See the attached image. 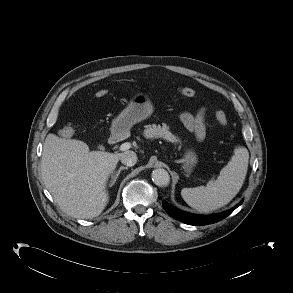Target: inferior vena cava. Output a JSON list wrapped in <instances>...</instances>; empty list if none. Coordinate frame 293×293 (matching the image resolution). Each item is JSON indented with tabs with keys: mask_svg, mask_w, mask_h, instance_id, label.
Returning <instances> with one entry per match:
<instances>
[{
	"mask_svg": "<svg viewBox=\"0 0 293 293\" xmlns=\"http://www.w3.org/2000/svg\"><path fill=\"white\" fill-rule=\"evenodd\" d=\"M137 155L133 151H126L121 154L120 160L124 165L134 166L137 162Z\"/></svg>",
	"mask_w": 293,
	"mask_h": 293,
	"instance_id": "obj_1",
	"label": "inferior vena cava"
}]
</instances>
